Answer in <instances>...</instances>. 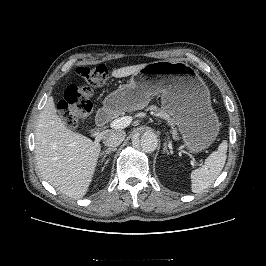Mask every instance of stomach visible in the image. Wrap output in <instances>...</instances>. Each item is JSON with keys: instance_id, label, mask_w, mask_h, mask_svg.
I'll list each match as a JSON object with an SVG mask.
<instances>
[{"instance_id": "stomach-1", "label": "stomach", "mask_w": 266, "mask_h": 266, "mask_svg": "<svg viewBox=\"0 0 266 266\" xmlns=\"http://www.w3.org/2000/svg\"><path fill=\"white\" fill-rule=\"evenodd\" d=\"M161 94L162 109L169 114L190 153L208 148L219 133V120L210 92L196 70L181 61L162 60L146 64L128 84L104 100L108 111L138 110Z\"/></svg>"}]
</instances>
